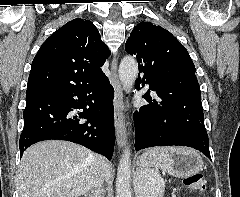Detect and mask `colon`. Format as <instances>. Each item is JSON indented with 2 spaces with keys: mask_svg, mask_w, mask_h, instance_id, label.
I'll list each match as a JSON object with an SVG mask.
<instances>
[{
  "mask_svg": "<svg viewBox=\"0 0 240 197\" xmlns=\"http://www.w3.org/2000/svg\"><path fill=\"white\" fill-rule=\"evenodd\" d=\"M184 183L191 190H202L206 185V179L202 173H194L186 177Z\"/></svg>",
  "mask_w": 240,
  "mask_h": 197,
  "instance_id": "colon-1",
  "label": "colon"
}]
</instances>
